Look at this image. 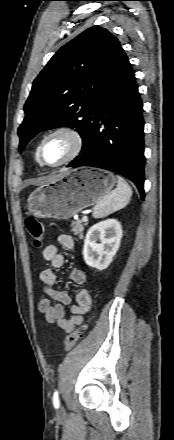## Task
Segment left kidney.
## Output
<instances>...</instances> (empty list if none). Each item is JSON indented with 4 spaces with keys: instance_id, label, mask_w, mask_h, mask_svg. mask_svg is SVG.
Returning a JSON list of instances; mask_svg holds the SVG:
<instances>
[{
    "instance_id": "5707ae66",
    "label": "left kidney",
    "mask_w": 174,
    "mask_h": 440,
    "mask_svg": "<svg viewBox=\"0 0 174 440\" xmlns=\"http://www.w3.org/2000/svg\"><path fill=\"white\" fill-rule=\"evenodd\" d=\"M122 233V226L116 219H107L93 225L84 240L85 263L98 270L106 269L118 251Z\"/></svg>"
}]
</instances>
